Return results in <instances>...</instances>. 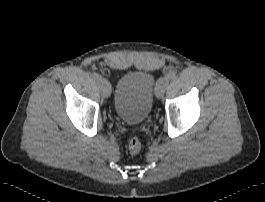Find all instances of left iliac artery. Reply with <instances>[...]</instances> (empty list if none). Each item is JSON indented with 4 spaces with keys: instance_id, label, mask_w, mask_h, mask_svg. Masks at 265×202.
Instances as JSON below:
<instances>
[{
    "instance_id": "44dca946",
    "label": "left iliac artery",
    "mask_w": 265,
    "mask_h": 202,
    "mask_svg": "<svg viewBox=\"0 0 265 202\" xmlns=\"http://www.w3.org/2000/svg\"><path fill=\"white\" fill-rule=\"evenodd\" d=\"M175 76H176V73L173 72V71L169 72V73L166 75V77H167L168 79H174Z\"/></svg>"
}]
</instances>
